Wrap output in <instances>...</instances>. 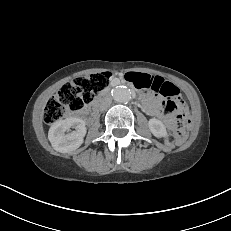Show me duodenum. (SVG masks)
<instances>
[{"label": "duodenum", "mask_w": 231, "mask_h": 231, "mask_svg": "<svg viewBox=\"0 0 231 231\" xmlns=\"http://www.w3.org/2000/svg\"><path fill=\"white\" fill-rule=\"evenodd\" d=\"M141 97H142L143 100H144L143 94L141 95ZM144 101H145V100H144ZM98 107H99V103L97 102V103H95V104L91 107L90 112L95 111Z\"/></svg>", "instance_id": "1"}]
</instances>
